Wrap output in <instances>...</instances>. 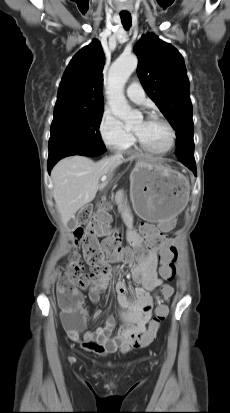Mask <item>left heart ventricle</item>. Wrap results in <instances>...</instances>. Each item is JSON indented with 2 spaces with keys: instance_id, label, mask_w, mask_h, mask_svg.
<instances>
[{
  "instance_id": "left-heart-ventricle-1",
  "label": "left heart ventricle",
  "mask_w": 230,
  "mask_h": 413,
  "mask_svg": "<svg viewBox=\"0 0 230 413\" xmlns=\"http://www.w3.org/2000/svg\"><path fill=\"white\" fill-rule=\"evenodd\" d=\"M133 131L143 142L154 148L164 147L169 139L167 128L157 120H140L135 124Z\"/></svg>"
}]
</instances>
